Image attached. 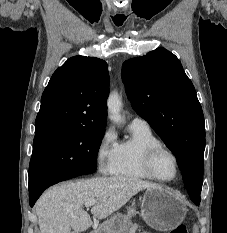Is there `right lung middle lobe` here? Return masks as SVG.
Returning a JSON list of instances; mask_svg holds the SVG:
<instances>
[{"label": "right lung middle lobe", "mask_w": 227, "mask_h": 233, "mask_svg": "<svg viewBox=\"0 0 227 233\" xmlns=\"http://www.w3.org/2000/svg\"><path fill=\"white\" fill-rule=\"evenodd\" d=\"M104 131V128L59 127L35 133L29 187L46 178L95 172Z\"/></svg>", "instance_id": "right-lung-middle-lobe-1"}]
</instances>
